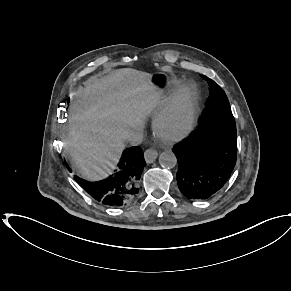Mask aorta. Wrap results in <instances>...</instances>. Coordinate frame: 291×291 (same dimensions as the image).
I'll use <instances>...</instances> for the list:
<instances>
[{
    "label": "aorta",
    "mask_w": 291,
    "mask_h": 291,
    "mask_svg": "<svg viewBox=\"0 0 291 291\" xmlns=\"http://www.w3.org/2000/svg\"><path fill=\"white\" fill-rule=\"evenodd\" d=\"M159 164L163 168H173L177 164V158L172 151H164L159 156Z\"/></svg>",
    "instance_id": "1"
}]
</instances>
